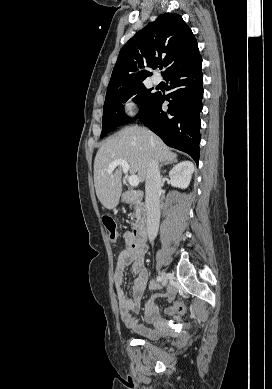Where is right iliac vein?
<instances>
[{"label": "right iliac vein", "instance_id": "right-iliac-vein-1", "mask_svg": "<svg viewBox=\"0 0 272 389\" xmlns=\"http://www.w3.org/2000/svg\"><path fill=\"white\" fill-rule=\"evenodd\" d=\"M160 277L162 278L163 284L166 285L167 281H168V278H169V275L166 272H161V276Z\"/></svg>", "mask_w": 272, "mask_h": 389}]
</instances>
